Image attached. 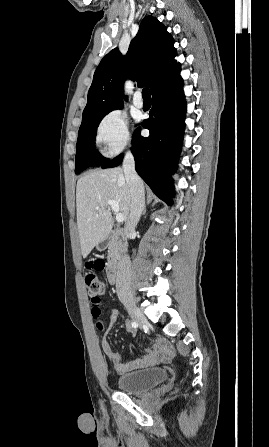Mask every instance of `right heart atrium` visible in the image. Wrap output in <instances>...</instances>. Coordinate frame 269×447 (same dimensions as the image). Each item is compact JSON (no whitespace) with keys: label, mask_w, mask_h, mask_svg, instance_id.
I'll list each match as a JSON object with an SVG mask.
<instances>
[{"label":"right heart atrium","mask_w":269,"mask_h":447,"mask_svg":"<svg viewBox=\"0 0 269 447\" xmlns=\"http://www.w3.org/2000/svg\"><path fill=\"white\" fill-rule=\"evenodd\" d=\"M128 117L121 110L113 109L98 123L95 143L102 155L111 157L132 144Z\"/></svg>","instance_id":"right-heart-atrium-1"}]
</instances>
